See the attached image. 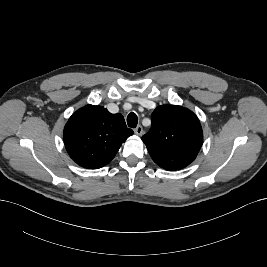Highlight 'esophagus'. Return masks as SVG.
I'll list each match as a JSON object with an SVG mask.
<instances>
[{
    "label": "esophagus",
    "instance_id": "obj_1",
    "mask_svg": "<svg viewBox=\"0 0 267 267\" xmlns=\"http://www.w3.org/2000/svg\"><path fill=\"white\" fill-rule=\"evenodd\" d=\"M134 132L136 135H139L141 136L143 134V128L141 125L137 126L135 129H134Z\"/></svg>",
    "mask_w": 267,
    "mask_h": 267
}]
</instances>
